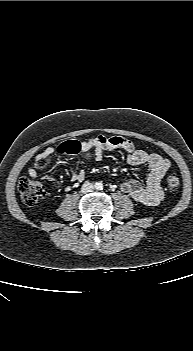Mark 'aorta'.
Here are the masks:
<instances>
[{
    "mask_svg": "<svg viewBox=\"0 0 193 351\" xmlns=\"http://www.w3.org/2000/svg\"><path fill=\"white\" fill-rule=\"evenodd\" d=\"M102 187V185H99V187L98 188H101Z\"/></svg>",
    "mask_w": 193,
    "mask_h": 351,
    "instance_id": "aorta-1",
    "label": "aorta"
}]
</instances>
